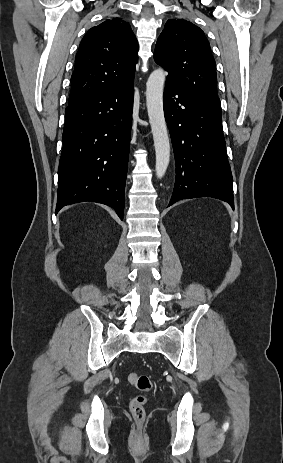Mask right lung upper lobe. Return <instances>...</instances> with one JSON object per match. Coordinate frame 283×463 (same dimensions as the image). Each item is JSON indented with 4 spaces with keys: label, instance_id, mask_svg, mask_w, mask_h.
I'll use <instances>...</instances> for the list:
<instances>
[{
    "label": "right lung upper lobe",
    "instance_id": "cb5924a9",
    "mask_svg": "<svg viewBox=\"0 0 283 463\" xmlns=\"http://www.w3.org/2000/svg\"><path fill=\"white\" fill-rule=\"evenodd\" d=\"M138 43L130 25L112 18L91 28L75 57L69 104L134 80Z\"/></svg>",
    "mask_w": 283,
    "mask_h": 463
}]
</instances>
